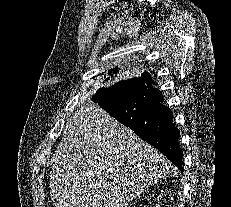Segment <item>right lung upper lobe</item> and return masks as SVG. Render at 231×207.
I'll return each instance as SVG.
<instances>
[{
    "label": "right lung upper lobe",
    "instance_id": "obj_1",
    "mask_svg": "<svg viewBox=\"0 0 231 207\" xmlns=\"http://www.w3.org/2000/svg\"><path fill=\"white\" fill-rule=\"evenodd\" d=\"M108 77L106 78V80H109L110 78L113 77H117L118 75H120V69L118 67L116 68H111L108 70Z\"/></svg>",
    "mask_w": 231,
    "mask_h": 207
}]
</instances>
